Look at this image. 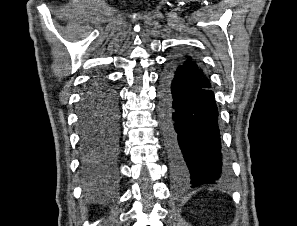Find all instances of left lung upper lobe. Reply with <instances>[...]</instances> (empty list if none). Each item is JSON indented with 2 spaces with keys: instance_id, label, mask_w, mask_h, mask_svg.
Wrapping results in <instances>:
<instances>
[{
  "instance_id": "1",
  "label": "left lung upper lobe",
  "mask_w": 297,
  "mask_h": 226,
  "mask_svg": "<svg viewBox=\"0 0 297 226\" xmlns=\"http://www.w3.org/2000/svg\"><path fill=\"white\" fill-rule=\"evenodd\" d=\"M173 59L175 60V73L179 74L187 84L194 88L210 87L209 80L189 55L181 54Z\"/></svg>"
}]
</instances>
